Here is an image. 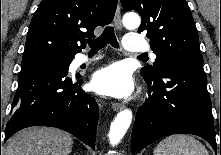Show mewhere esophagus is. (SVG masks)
<instances>
[{
	"instance_id": "1",
	"label": "esophagus",
	"mask_w": 221,
	"mask_h": 155,
	"mask_svg": "<svg viewBox=\"0 0 221 155\" xmlns=\"http://www.w3.org/2000/svg\"><path fill=\"white\" fill-rule=\"evenodd\" d=\"M114 24L117 30H122L123 26H122V20H121V7H120L119 2L116 8L115 16H114ZM123 107L124 105L121 103H117V102L112 103V108L114 111L121 110L123 109Z\"/></svg>"
}]
</instances>
